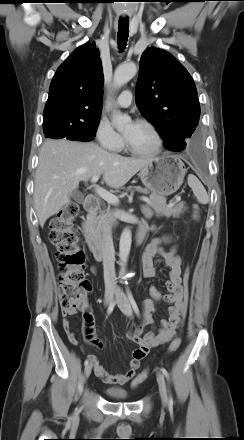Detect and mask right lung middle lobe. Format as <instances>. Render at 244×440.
Wrapping results in <instances>:
<instances>
[{"label": "right lung middle lobe", "instance_id": "1", "mask_svg": "<svg viewBox=\"0 0 244 440\" xmlns=\"http://www.w3.org/2000/svg\"><path fill=\"white\" fill-rule=\"evenodd\" d=\"M98 124L99 119L86 124L48 120L43 121V131L46 137L52 139L66 138L68 140L91 141L95 137Z\"/></svg>", "mask_w": 244, "mask_h": 440}]
</instances>
